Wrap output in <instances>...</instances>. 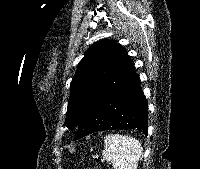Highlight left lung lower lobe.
<instances>
[{
	"label": "left lung lower lobe",
	"instance_id": "left-lung-lower-lobe-1",
	"mask_svg": "<svg viewBox=\"0 0 200 169\" xmlns=\"http://www.w3.org/2000/svg\"><path fill=\"white\" fill-rule=\"evenodd\" d=\"M147 100L135 73L121 86L96 102L78 126L74 141L91 133L132 129L148 133Z\"/></svg>",
	"mask_w": 200,
	"mask_h": 169
}]
</instances>
